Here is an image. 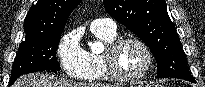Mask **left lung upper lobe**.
<instances>
[{
	"label": "left lung upper lobe",
	"mask_w": 205,
	"mask_h": 87,
	"mask_svg": "<svg viewBox=\"0 0 205 87\" xmlns=\"http://www.w3.org/2000/svg\"><path fill=\"white\" fill-rule=\"evenodd\" d=\"M103 3L110 16L148 45L156 58L158 78L194 79L165 0H103Z\"/></svg>",
	"instance_id": "left-lung-upper-lobe-1"
}]
</instances>
